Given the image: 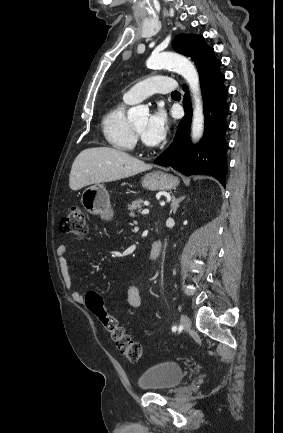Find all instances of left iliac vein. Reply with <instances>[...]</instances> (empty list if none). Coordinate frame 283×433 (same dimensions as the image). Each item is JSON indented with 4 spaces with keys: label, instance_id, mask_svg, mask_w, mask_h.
Returning a JSON list of instances; mask_svg holds the SVG:
<instances>
[{
    "label": "left iliac vein",
    "instance_id": "4c4485c4",
    "mask_svg": "<svg viewBox=\"0 0 283 433\" xmlns=\"http://www.w3.org/2000/svg\"><path fill=\"white\" fill-rule=\"evenodd\" d=\"M180 321H181V325H182V327H183L185 330H189V329H190V327H191V322H190V319H189L185 314H182V315H181V319H180Z\"/></svg>",
    "mask_w": 283,
    "mask_h": 433
}]
</instances>
